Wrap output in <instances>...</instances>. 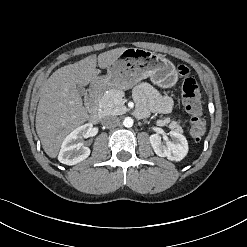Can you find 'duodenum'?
Returning a JSON list of instances; mask_svg holds the SVG:
<instances>
[{
  "label": "duodenum",
  "mask_w": 247,
  "mask_h": 247,
  "mask_svg": "<svg viewBox=\"0 0 247 247\" xmlns=\"http://www.w3.org/2000/svg\"><path fill=\"white\" fill-rule=\"evenodd\" d=\"M103 88L100 86L92 88L86 96V105L90 111V122H97L100 118L99 100L102 96Z\"/></svg>",
  "instance_id": "duodenum-1"
}]
</instances>
